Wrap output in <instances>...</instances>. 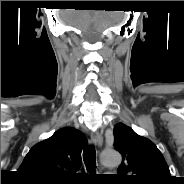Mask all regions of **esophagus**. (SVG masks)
<instances>
[{
  "label": "esophagus",
  "mask_w": 184,
  "mask_h": 184,
  "mask_svg": "<svg viewBox=\"0 0 184 184\" xmlns=\"http://www.w3.org/2000/svg\"><path fill=\"white\" fill-rule=\"evenodd\" d=\"M91 140L94 144L101 146L103 144V137L98 132L91 133Z\"/></svg>",
  "instance_id": "1"
}]
</instances>
